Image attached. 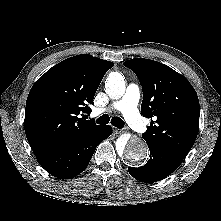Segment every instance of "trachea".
I'll use <instances>...</instances> for the list:
<instances>
[{
	"mask_svg": "<svg viewBox=\"0 0 221 221\" xmlns=\"http://www.w3.org/2000/svg\"><path fill=\"white\" fill-rule=\"evenodd\" d=\"M109 121H110V123H111L113 126H115V127H117V128H123V127H124V121H123L121 118H119V117H113L112 119H110L107 114H104V115L100 116V117L96 120V122H97L98 124H104V125H105V124H108Z\"/></svg>",
	"mask_w": 221,
	"mask_h": 221,
	"instance_id": "trachea-1",
	"label": "trachea"
}]
</instances>
